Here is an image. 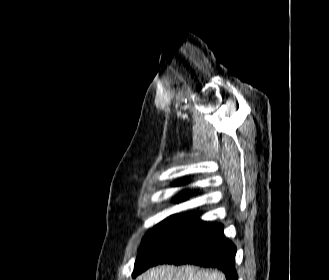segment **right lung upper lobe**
Instances as JSON below:
<instances>
[{
  "instance_id": "obj_1",
  "label": "right lung upper lobe",
  "mask_w": 329,
  "mask_h": 280,
  "mask_svg": "<svg viewBox=\"0 0 329 280\" xmlns=\"http://www.w3.org/2000/svg\"><path fill=\"white\" fill-rule=\"evenodd\" d=\"M188 181H189L188 179L184 178V179H181V180L176 181L174 183V185H184V184L188 183ZM177 198H179V199H187V196L186 195H181V196H178Z\"/></svg>"
}]
</instances>
